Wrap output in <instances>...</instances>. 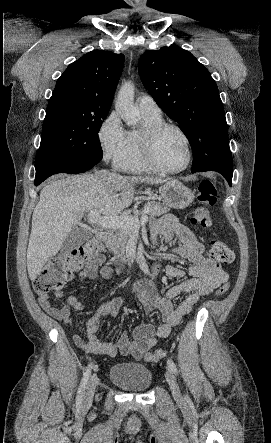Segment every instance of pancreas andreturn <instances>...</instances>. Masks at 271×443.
I'll return each instance as SVG.
<instances>
[{
  "mask_svg": "<svg viewBox=\"0 0 271 443\" xmlns=\"http://www.w3.org/2000/svg\"><path fill=\"white\" fill-rule=\"evenodd\" d=\"M145 208H149L148 216L150 220L151 218H155V216H162V214L169 212V208H164V206L157 204V202H147ZM140 214H144V212H135V216H140ZM135 229H137V227H132V229H121V227H119L116 233L109 235L105 241L109 251H113L122 261H126V255H124L126 243L129 241Z\"/></svg>",
  "mask_w": 271,
  "mask_h": 443,
  "instance_id": "1",
  "label": "pancreas"
}]
</instances>
